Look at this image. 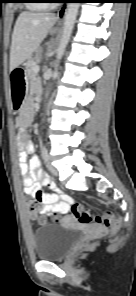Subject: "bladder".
Instances as JSON below:
<instances>
[{"mask_svg": "<svg viewBox=\"0 0 136 296\" xmlns=\"http://www.w3.org/2000/svg\"><path fill=\"white\" fill-rule=\"evenodd\" d=\"M78 230L63 224H48L33 232L34 253L40 261L59 260L77 241Z\"/></svg>", "mask_w": 136, "mask_h": 296, "instance_id": "1", "label": "bladder"}]
</instances>
